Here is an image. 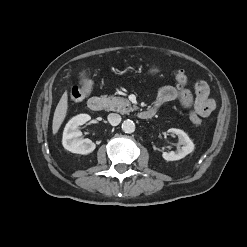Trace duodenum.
Here are the masks:
<instances>
[{"mask_svg": "<svg viewBox=\"0 0 247 247\" xmlns=\"http://www.w3.org/2000/svg\"><path fill=\"white\" fill-rule=\"evenodd\" d=\"M106 106V99L104 97H92L88 101V107L94 112L103 110ZM156 111L152 108L143 110L139 113V117L143 120H149L154 117Z\"/></svg>", "mask_w": 247, "mask_h": 247, "instance_id": "410a0bca", "label": "duodenum"}]
</instances>
